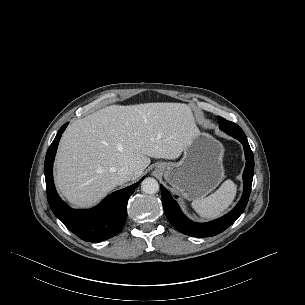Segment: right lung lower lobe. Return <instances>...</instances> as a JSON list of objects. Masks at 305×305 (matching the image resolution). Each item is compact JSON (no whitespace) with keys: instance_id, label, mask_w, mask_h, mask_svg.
<instances>
[{"instance_id":"obj_1","label":"right lung lower lobe","mask_w":305,"mask_h":305,"mask_svg":"<svg viewBox=\"0 0 305 305\" xmlns=\"http://www.w3.org/2000/svg\"><path fill=\"white\" fill-rule=\"evenodd\" d=\"M67 125L68 123L60 128L45 158L48 203L53 213L79 238L87 242H101L117 235L123 228L127 218L128 199L140 182L110 194L93 209H71L57 194L52 173L57 146Z\"/></svg>"}]
</instances>
